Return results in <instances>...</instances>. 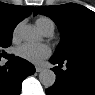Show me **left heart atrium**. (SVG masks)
Instances as JSON below:
<instances>
[{
  "instance_id": "left-heart-atrium-1",
  "label": "left heart atrium",
  "mask_w": 95,
  "mask_h": 95,
  "mask_svg": "<svg viewBox=\"0 0 95 95\" xmlns=\"http://www.w3.org/2000/svg\"><path fill=\"white\" fill-rule=\"evenodd\" d=\"M50 48L44 44L25 43L21 45L17 54L22 59L38 64L50 55Z\"/></svg>"
}]
</instances>
